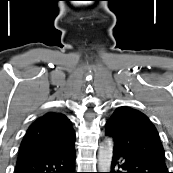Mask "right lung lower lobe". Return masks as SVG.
Listing matches in <instances>:
<instances>
[{
    "instance_id": "obj_1",
    "label": "right lung lower lobe",
    "mask_w": 173,
    "mask_h": 173,
    "mask_svg": "<svg viewBox=\"0 0 173 173\" xmlns=\"http://www.w3.org/2000/svg\"><path fill=\"white\" fill-rule=\"evenodd\" d=\"M74 146L38 157L17 160L15 173H76Z\"/></svg>"
}]
</instances>
